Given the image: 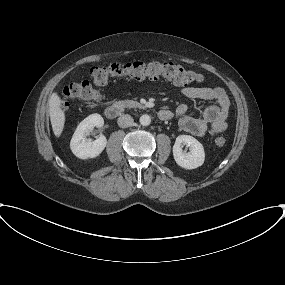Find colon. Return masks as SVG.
Segmentation results:
<instances>
[{"label": "colon", "instance_id": "obj_1", "mask_svg": "<svg viewBox=\"0 0 285 285\" xmlns=\"http://www.w3.org/2000/svg\"><path fill=\"white\" fill-rule=\"evenodd\" d=\"M89 77L93 85L89 81H82L71 83L64 88L62 94L64 106H68L70 101H96L100 97V88L104 87L111 79H165L183 86L200 83L204 80L201 74L173 62H131L95 66L91 68ZM214 144L217 147H223L226 144V139L219 136L215 138Z\"/></svg>", "mask_w": 285, "mask_h": 285}]
</instances>
